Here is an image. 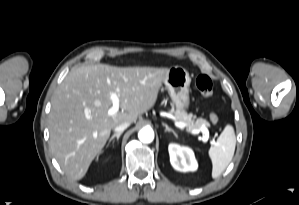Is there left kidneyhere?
<instances>
[{"label":"left kidney","instance_id":"obj_1","mask_svg":"<svg viewBox=\"0 0 299 205\" xmlns=\"http://www.w3.org/2000/svg\"><path fill=\"white\" fill-rule=\"evenodd\" d=\"M170 162L173 168L180 172L195 171L198 167L192 149L171 143L168 147Z\"/></svg>","mask_w":299,"mask_h":205}]
</instances>
